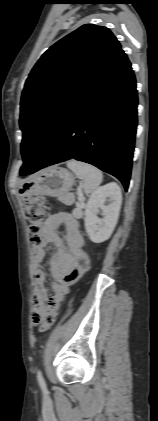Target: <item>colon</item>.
Here are the masks:
<instances>
[{
	"label": "colon",
	"mask_w": 158,
	"mask_h": 421,
	"mask_svg": "<svg viewBox=\"0 0 158 421\" xmlns=\"http://www.w3.org/2000/svg\"><path fill=\"white\" fill-rule=\"evenodd\" d=\"M44 204L45 199L43 197L37 196L27 201L24 206V215L28 221L29 231L33 244L37 242L39 233L43 226V221L45 218ZM56 317V310H48L40 320V330H49L54 325Z\"/></svg>",
	"instance_id": "obj_1"
}]
</instances>
